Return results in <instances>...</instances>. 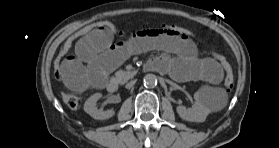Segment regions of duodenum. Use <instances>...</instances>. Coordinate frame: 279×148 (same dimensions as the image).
<instances>
[{
	"mask_svg": "<svg viewBox=\"0 0 279 148\" xmlns=\"http://www.w3.org/2000/svg\"><path fill=\"white\" fill-rule=\"evenodd\" d=\"M119 86H120V84L117 79H111L108 82L107 88H108V91H110V92H116L119 89Z\"/></svg>",
	"mask_w": 279,
	"mask_h": 148,
	"instance_id": "410a0bca",
	"label": "duodenum"
}]
</instances>
